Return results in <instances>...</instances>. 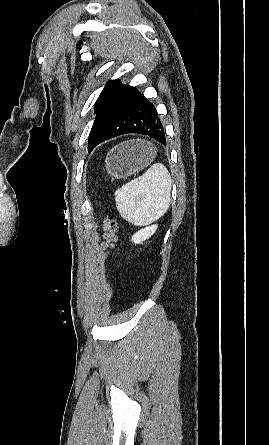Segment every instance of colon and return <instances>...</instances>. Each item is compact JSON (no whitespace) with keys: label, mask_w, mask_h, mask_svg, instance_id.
Wrapping results in <instances>:
<instances>
[{"label":"colon","mask_w":269,"mask_h":445,"mask_svg":"<svg viewBox=\"0 0 269 445\" xmlns=\"http://www.w3.org/2000/svg\"><path fill=\"white\" fill-rule=\"evenodd\" d=\"M104 242L102 247L105 251H111L117 242L118 224L113 218H106L103 223Z\"/></svg>","instance_id":"5ec220e1"}]
</instances>
